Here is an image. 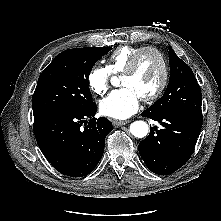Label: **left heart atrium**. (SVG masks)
<instances>
[{"instance_id":"left-heart-atrium-1","label":"left heart atrium","mask_w":221,"mask_h":221,"mask_svg":"<svg viewBox=\"0 0 221 221\" xmlns=\"http://www.w3.org/2000/svg\"><path fill=\"white\" fill-rule=\"evenodd\" d=\"M139 95L130 87L112 91L99 104L100 112L115 119H126L139 108Z\"/></svg>"}]
</instances>
